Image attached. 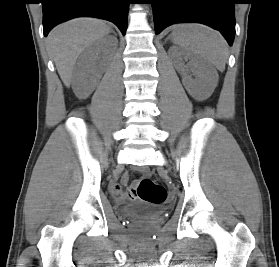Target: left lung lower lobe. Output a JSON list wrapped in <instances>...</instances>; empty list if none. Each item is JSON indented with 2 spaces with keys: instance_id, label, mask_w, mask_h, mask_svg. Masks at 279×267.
Listing matches in <instances>:
<instances>
[{
  "instance_id": "obj_1",
  "label": "left lung lower lobe",
  "mask_w": 279,
  "mask_h": 267,
  "mask_svg": "<svg viewBox=\"0 0 279 267\" xmlns=\"http://www.w3.org/2000/svg\"><path fill=\"white\" fill-rule=\"evenodd\" d=\"M155 33L181 22H198L219 30L229 45L235 36V0H151Z\"/></svg>"
}]
</instances>
